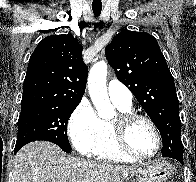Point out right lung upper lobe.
I'll return each instance as SVG.
<instances>
[{"label":"right lung upper lobe","mask_w":196,"mask_h":182,"mask_svg":"<svg viewBox=\"0 0 196 182\" xmlns=\"http://www.w3.org/2000/svg\"><path fill=\"white\" fill-rule=\"evenodd\" d=\"M82 50L71 34L48 36L41 40L29 59L21 107L79 104L88 76Z\"/></svg>","instance_id":"cb5924a9"}]
</instances>
